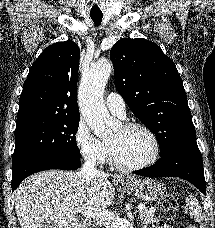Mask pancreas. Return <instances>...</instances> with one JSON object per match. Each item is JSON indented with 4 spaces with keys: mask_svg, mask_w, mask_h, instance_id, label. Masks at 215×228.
I'll return each instance as SVG.
<instances>
[{
    "mask_svg": "<svg viewBox=\"0 0 215 228\" xmlns=\"http://www.w3.org/2000/svg\"><path fill=\"white\" fill-rule=\"evenodd\" d=\"M139 216L142 224H155L156 222L154 212H152V210H148V208L141 210Z\"/></svg>",
    "mask_w": 215,
    "mask_h": 228,
    "instance_id": "cf45deb5",
    "label": "pancreas"
}]
</instances>
